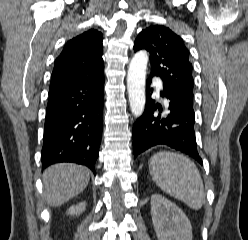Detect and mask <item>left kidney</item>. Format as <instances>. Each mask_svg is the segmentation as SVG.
I'll list each match as a JSON object with an SVG mask.
<instances>
[{
	"label": "left kidney",
	"mask_w": 248,
	"mask_h": 240,
	"mask_svg": "<svg viewBox=\"0 0 248 240\" xmlns=\"http://www.w3.org/2000/svg\"><path fill=\"white\" fill-rule=\"evenodd\" d=\"M151 217L158 240H192V226L185 213L159 194L151 196Z\"/></svg>",
	"instance_id": "left-kidney-1"
}]
</instances>
